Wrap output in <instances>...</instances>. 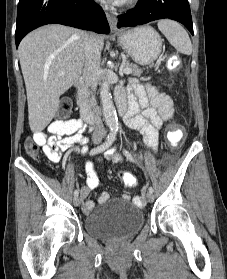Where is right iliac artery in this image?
Wrapping results in <instances>:
<instances>
[{"label": "right iliac artery", "instance_id": "82829eb1", "mask_svg": "<svg viewBox=\"0 0 227 279\" xmlns=\"http://www.w3.org/2000/svg\"><path fill=\"white\" fill-rule=\"evenodd\" d=\"M115 138H116V132L115 131H111L106 139V141L104 143H102L101 145L93 148L91 151H90V155H95V154H98V153H101L103 151H105L107 148H109L113 142L115 141ZM79 194V191L78 190H75L74 191V196L77 197Z\"/></svg>", "mask_w": 227, "mask_h": 279}]
</instances>
